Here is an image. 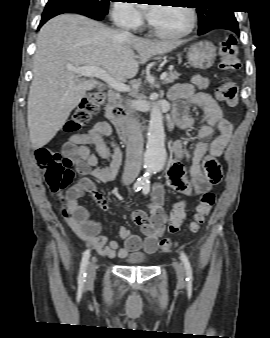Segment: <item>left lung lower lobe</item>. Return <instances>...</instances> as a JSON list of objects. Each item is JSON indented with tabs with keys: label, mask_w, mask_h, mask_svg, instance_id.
Instances as JSON below:
<instances>
[{
	"label": "left lung lower lobe",
	"mask_w": 270,
	"mask_h": 338,
	"mask_svg": "<svg viewBox=\"0 0 270 338\" xmlns=\"http://www.w3.org/2000/svg\"><path fill=\"white\" fill-rule=\"evenodd\" d=\"M213 29H228V30L235 32L237 35H239L238 23H237L235 17L229 18V19L215 25V27Z\"/></svg>",
	"instance_id": "left-lung-lower-lobe-1"
}]
</instances>
